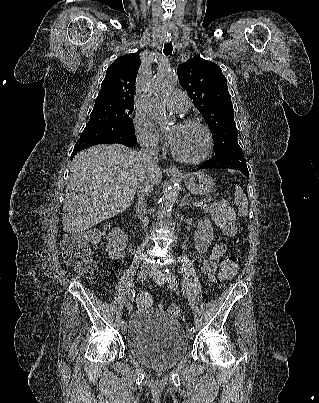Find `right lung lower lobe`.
<instances>
[{
	"instance_id": "98d812e1",
	"label": "right lung lower lobe",
	"mask_w": 319,
	"mask_h": 403,
	"mask_svg": "<svg viewBox=\"0 0 319 403\" xmlns=\"http://www.w3.org/2000/svg\"><path fill=\"white\" fill-rule=\"evenodd\" d=\"M102 143H119L132 147L137 144V139L135 138L134 132L126 130L119 125H100L91 128L85 127L74 147L71 159H73L74 155L81 150Z\"/></svg>"
}]
</instances>
